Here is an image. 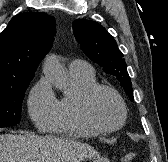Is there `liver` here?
<instances>
[{"instance_id":"obj_1","label":"liver","mask_w":168,"mask_h":162,"mask_svg":"<svg viewBox=\"0 0 168 162\" xmlns=\"http://www.w3.org/2000/svg\"><path fill=\"white\" fill-rule=\"evenodd\" d=\"M99 157L91 146L74 139L30 133L0 135V162H81Z\"/></svg>"}]
</instances>
